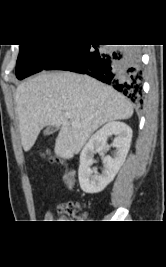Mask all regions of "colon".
Returning <instances> with one entry per match:
<instances>
[{"label":"colon","instance_id":"1","mask_svg":"<svg viewBox=\"0 0 166 267\" xmlns=\"http://www.w3.org/2000/svg\"><path fill=\"white\" fill-rule=\"evenodd\" d=\"M44 162H52L55 160L54 156L49 152L46 151L43 154ZM63 163L68 166L66 161ZM74 181V171L67 168L65 172V182L68 185L70 182ZM57 211L59 214V220H69L78 216L79 213V205L76 202L68 201L58 205ZM58 222H65V221H58Z\"/></svg>","mask_w":166,"mask_h":267}]
</instances>
